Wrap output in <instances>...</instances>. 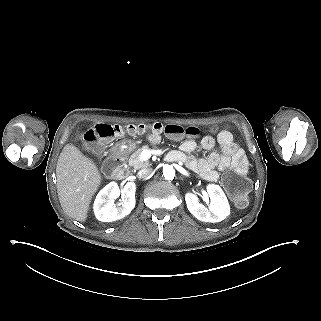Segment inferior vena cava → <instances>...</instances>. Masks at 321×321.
<instances>
[{
	"label": "inferior vena cava",
	"mask_w": 321,
	"mask_h": 321,
	"mask_svg": "<svg viewBox=\"0 0 321 321\" xmlns=\"http://www.w3.org/2000/svg\"><path fill=\"white\" fill-rule=\"evenodd\" d=\"M153 169L152 168H144L141 169L138 173H137V177L142 179V178H146L148 177L151 173H152Z\"/></svg>",
	"instance_id": "inferior-vena-cava-1"
}]
</instances>
